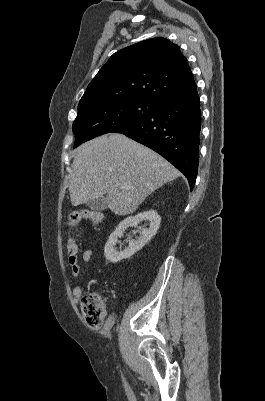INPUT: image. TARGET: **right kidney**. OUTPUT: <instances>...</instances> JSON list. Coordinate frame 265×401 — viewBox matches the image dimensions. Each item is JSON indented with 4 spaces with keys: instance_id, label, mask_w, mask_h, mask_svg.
Masks as SVG:
<instances>
[{
    "instance_id": "right-kidney-1",
    "label": "right kidney",
    "mask_w": 265,
    "mask_h": 401,
    "mask_svg": "<svg viewBox=\"0 0 265 401\" xmlns=\"http://www.w3.org/2000/svg\"><path fill=\"white\" fill-rule=\"evenodd\" d=\"M141 221H149V229H142V233L137 241H129V247L125 251H116L114 249L118 237H123V233L127 227H137ZM161 219L156 211H144L135 217H127L124 221L119 223L114 233H111L104 249L105 257L109 263H119L122 259H130L136 251H140L154 235H156L160 227ZM137 233V231H134Z\"/></svg>"
}]
</instances>
